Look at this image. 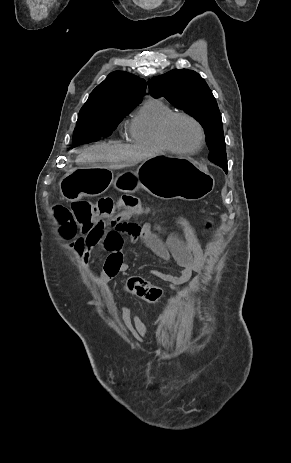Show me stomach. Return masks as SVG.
Segmentation results:
<instances>
[{
  "label": "stomach",
  "instance_id": "stomach-1",
  "mask_svg": "<svg viewBox=\"0 0 291 463\" xmlns=\"http://www.w3.org/2000/svg\"><path fill=\"white\" fill-rule=\"evenodd\" d=\"M138 173V177L124 175L111 179L109 169L82 167L61 180L60 192L66 200L76 201L84 195H100L113 184L121 191L143 187L163 200L195 201L207 196L215 183L208 171L193 159L168 154L145 160L139 166Z\"/></svg>",
  "mask_w": 291,
  "mask_h": 463
}]
</instances>
